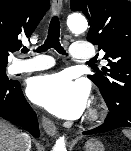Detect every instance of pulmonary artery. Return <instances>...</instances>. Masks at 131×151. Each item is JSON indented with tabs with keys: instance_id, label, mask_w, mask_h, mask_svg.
Masks as SVG:
<instances>
[{
	"instance_id": "pulmonary-artery-1",
	"label": "pulmonary artery",
	"mask_w": 131,
	"mask_h": 151,
	"mask_svg": "<svg viewBox=\"0 0 131 151\" xmlns=\"http://www.w3.org/2000/svg\"><path fill=\"white\" fill-rule=\"evenodd\" d=\"M72 58L79 62L89 61L94 56L92 45L85 41H79L72 44L70 49ZM53 60L47 56H37L30 60H21L13 64L14 73L32 72L51 67Z\"/></svg>"
}]
</instances>
